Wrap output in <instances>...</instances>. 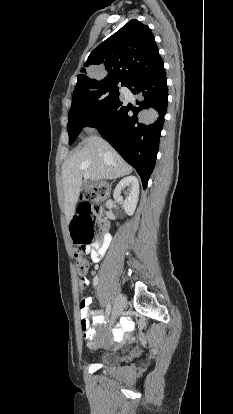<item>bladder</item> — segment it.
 <instances>
[{
    "label": "bladder",
    "mask_w": 233,
    "mask_h": 414,
    "mask_svg": "<svg viewBox=\"0 0 233 414\" xmlns=\"http://www.w3.org/2000/svg\"><path fill=\"white\" fill-rule=\"evenodd\" d=\"M117 360H118V355L115 353H111V352L104 353L99 357V362L101 364H106V365L114 364Z\"/></svg>",
    "instance_id": "31cf9c89"
}]
</instances>
